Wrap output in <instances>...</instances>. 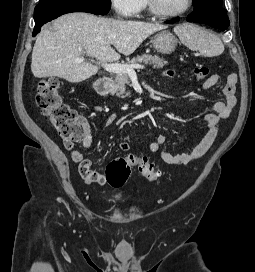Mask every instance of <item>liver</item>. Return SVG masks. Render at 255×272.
Returning <instances> with one entry per match:
<instances>
[{
  "mask_svg": "<svg viewBox=\"0 0 255 272\" xmlns=\"http://www.w3.org/2000/svg\"><path fill=\"white\" fill-rule=\"evenodd\" d=\"M166 28L158 23L96 17L88 13L65 14L54 21L51 29H43L37 36L31 71L36 78L56 76L79 83L99 70L97 65L76 62L82 54L103 64L116 61L120 53L132 54L148 36Z\"/></svg>",
  "mask_w": 255,
  "mask_h": 272,
  "instance_id": "liver-1",
  "label": "liver"
}]
</instances>
